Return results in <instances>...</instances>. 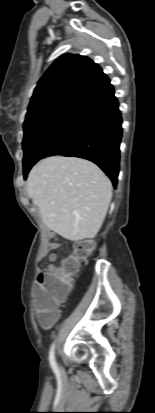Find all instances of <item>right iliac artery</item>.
Wrapping results in <instances>:
<instances>
[{
	"mask_svg": "<svg viewBox=\"0 0 155 413\" xmlns=\"http://www.w3.org/2000/svg\"><path fill=\"white\" fill-rule=\"evenodd\" d=\"M54 346H55V344L53 343L52 346H51L50 353H49V361H50V365H51L53 371L58 376L59 375V369H58L56 361H55Z\"/></svg>",
	"mask_w": 155,
	"mask_h": 413,
	"instance_id": "82829eb1",
	"label": "right iliac artery"
}]
</instances>
